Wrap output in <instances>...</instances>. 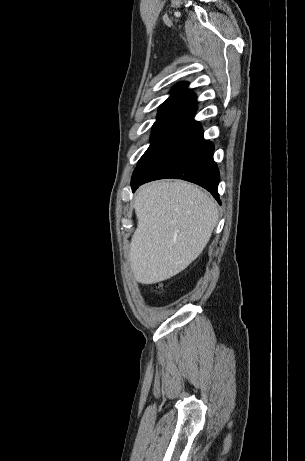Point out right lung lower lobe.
Wrapping results in <instances>:
<instances>
[{"label": "right lung lower lobe", "instance_id": "98d812e1", "mask_svg": "<svg viewBox=\"0 0 305 461\" xmlns=\"http://www.w3.org/2000/svg\"><path fill=\"white\" fill-rule=\"evenodd\" d=\"M196 109H188L167 137L138 163L131 180L133 191L145 182L177 178L202 186L220 203L214 145L203 138L202 128L194 120Z\"/></svg>", "mask_w": 305, "mask_h": 461}]
</instances>
